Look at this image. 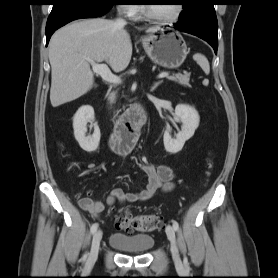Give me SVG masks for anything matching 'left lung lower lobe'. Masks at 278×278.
Returning <instances> with one entry per match:
<instances>
[{
  "instance_id": "1",
  "label": "left lung lower lobe",
  "mask_w": 278,
  "mask_h": 278,
  "mask_svg": "<svg viewBox=\"0 0 278 278\" xmlns=\"http://www.w3.org/2000/svg\"><path fill=\"white\" fill-rule=\"evenodd\" d=\"M174 28L189 34H193L207 41L217 54L218 48V22L205 12H199L188 19L174 24Z\"/></svg>"
}]
</instances>
